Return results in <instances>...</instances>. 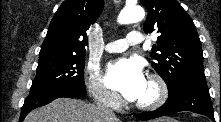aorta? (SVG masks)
Listing matches in <instances>:
<instances>
[{"mask_svg": "<svg viewBox=\"0 0 221 122\" xmlns=\"http://www.w3.org/2000/svg\"><path fill=\"white\" fill-rule=\"evenodd\" d=\"M145 16L144 9L141 6H126L118 16V23L129 24L141 21Z\"/></svg>", "mask_w": 221, "mask_h": 122, "instance_id": "1", "label": "aorta"}]
</instances>
